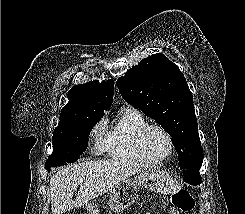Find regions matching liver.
Returning <instances> with one entry per match:
<instances>
[{
	"instance_id": "liver-1",
	"label": "liver",
	"mask_w": 245,
	"mask_h": 214,
	"mask_svg": "<svg viewBox=\"0 0 245 214\" xmlns=\"http://www.w3.org/2000/svg\"><path fill=\"white\" fill-rule=\"evenodd\" d=\"M137 172L138 166L127 160H89L65 167L50 179L52 214H63L81 207L115 189ZM78 186V194L72 200L73 191Z\"/></svg>"
}]
</instances>
